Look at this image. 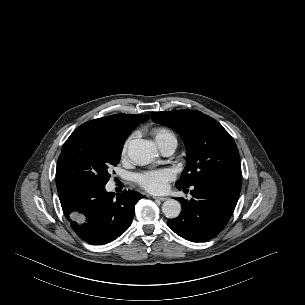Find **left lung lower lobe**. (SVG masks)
Masks as SVG:
<instances>
[{"mask_svg": "<svg viewBox=\"0 0 305 305\" xmlns=\"http://www.w3.org/2000/svg\"><path fill=\"white\" fill-rule=\"evenodd\" d=\"M193 188L190 201L178 197L183 210L177 218L168 220L167 225L186 240L205 242L215 237L229 221L241 190L240 174L210 177Z\"/></svg>", "mask_w": 305, "mask_h": 305, "instance_id": "1", "label": "left lung lower lobe"}]
</instances>
